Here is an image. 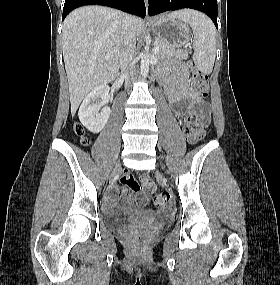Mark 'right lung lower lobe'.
Masks as SVG:
<instances>
[{
	"mask_svg": "<svg viewBox=\"0 0 280 285\" xmlns=\"http://www.w3.org/2000/svg\"><path fill=\"white\" fill-rule=\"evenodd\" d=\"M84 5H103L138 15H146L144 0H65L62 20L75 8Z\"/></svg>",
	"mask_w": 280,
	"mask_h": 285,
	"instance_id": "obj_1",
	"label": "right lung lower lobe"
}]
</instances>
